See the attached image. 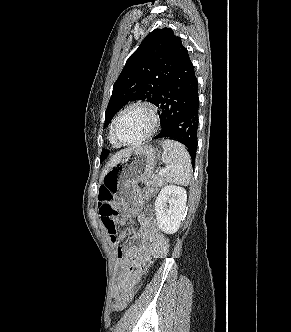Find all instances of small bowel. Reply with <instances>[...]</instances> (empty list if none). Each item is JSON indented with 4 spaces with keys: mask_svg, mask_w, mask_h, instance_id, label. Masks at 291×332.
<instances>
[{
    "mask_svg": "<svg viewBox=\"0 0 291 332\" xmlns=\"http://www.w3.org/2000/svg\"><path fill=\"white\" fill-rule=\"evenodd\" d=\"M122 238L132 232L125 219ZM168 252V242L158 229L157 223L149 213L139 216V228L133 234L131 243L118 248L117 271L119 280L115 288V296L131 289L142 273L148 268L153 258H163Z\"/></svg>",
    "mask_w": 291,
    "mask_h": 332,
    "instance_id": "c3829d8e",
    "label": "small bowel"
}]
</instances>
